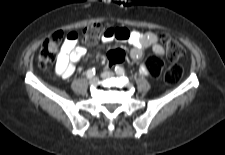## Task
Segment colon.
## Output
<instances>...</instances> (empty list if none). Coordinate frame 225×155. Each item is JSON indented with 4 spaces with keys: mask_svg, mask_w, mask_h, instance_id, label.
Returning a JSON list of instances; mask_svg holds the SVG:
<instances>
[{
    "mask_svg": "<svg viewBox=\"0 0 225 155\" xmlns=\"http://www.w3.org/2000/svg\"><path fill=\"white\" fill-rule=\"evenodd\" d=\"M110 28V26L101 22L91 24L82 31L83 40L88 44H93L107 33ZM62 34L63 32L61 31L55 32L42 44L38 54V65L41 69H46L58 57ZM161 41L165 45L166 54L170 61H178L184 56L183 47L178 41L170 38L168 35H163ZM107 58L111 63L118 64L126 61L127 54L122 47L115 46L108 51ZM165 66L166 63L163 59L152 57L148 62L141 65L140 72L144 76L151 75L153 78L158 79L162 76ZM182 75V68L174 64L164 72L163 78L167 84H175L180 81Z\"/></svg>",
    "mask_w": 225,
    "mask_h": 155,
    "instance_id": "colon-1",
    "label": "colon"
}]
</instances>
